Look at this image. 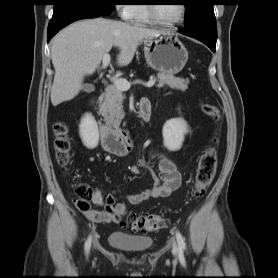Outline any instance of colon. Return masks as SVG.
Here are the masks:
<instances>
[{"instance_id":"obj_1","label":"colon","mask_w":278,"mask_h":278,"mask_svg":"<svg viewBox=\"0 0 278 278\" xmlns=\"http://www.w3.org/2000/svg\"><path fill=\"white\" fill-rule=\"evenodd\" d=\"M202 111L211 119L218 121L220 119L219 109L211 104H204ZM55 141L54 147L56 158L60 165L65 166L71 160V140L68 128L65 123L59 121L54 125ZM217 169V147L213 142L207 146L200 155L194 187L191 195L194 198H201L209 185L211 184ZM77 196L76 202L86 204L92 198V190L86 184H79L75 188ZM167 220L157 214L134 215L132 217V229L135 231H156L167 226Z\"/></svg>"}]
</instances>
